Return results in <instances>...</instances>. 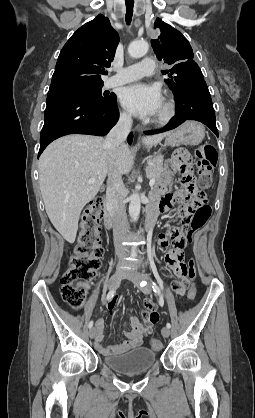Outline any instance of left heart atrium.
Returning a JSON list of instances; mask_svg holds the SVG:
<instances>
[{
  "instance_id": "1",
  "label": "left heart atrium",
  "mask_w": 255,
  "mask_h": 418,
  "mask_svg": "<svg viewBox=\"0 0 255 418\" xmlns=\"http://www.w3.org/2000/svg\"><path fill=\"white\" fill-rule=\"evenodd\" d=\"M121 103L132 114L138 117H148L160 111L163 99L157 86L136 83L122 91Z\"/></svg>"
}]
</instances>
